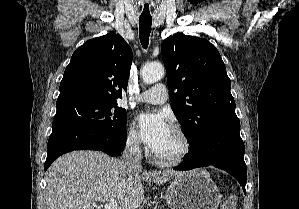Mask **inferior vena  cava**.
I'll return each mask as SVG.
<instances>
[{
	"instance_id": "inferior-vena-cava-1",
	"label": "inferior vena cava",
	"mask_w": 299,
	"mask_h": 209,
	"mask_svg": "<svg viewBox=\"0 0 299 209\" xmlns=\"http://www.w3.org/2000/svg\"><path fill=\"white\" fill-rule=\"evenodd\" d=\"M121 159L129 170L141 169L142 154L138 138L131 137L127 140Z\"/></svg>"
}]
</instances>
